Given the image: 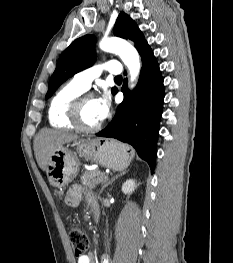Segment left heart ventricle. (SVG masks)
Segmentation results:
<instances>
[{
	"instance_id": "left-heart-ventricle-1",
	"label": "left heart ventricle",
	"mask_w": 233,
	"mask_h": 263,
	"mask_svg": "<svg viewBox=\"0 0 233 263\" xmlns=\"http://www.w3.org/2000/svg\"><path fill=\"white\" fill-rule=\"evenodd\" d=\"M82 121L86 126H95L100 121L98 120L96 113V100L94 98H88L82 109Z\"/></svg>"
}]
</instances>
